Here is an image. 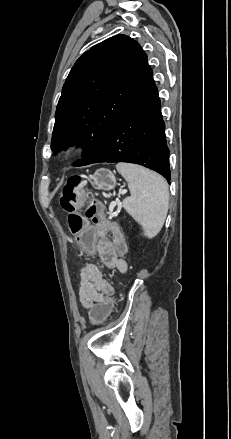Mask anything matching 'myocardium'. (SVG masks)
<instances>
[{
	"label": "myocardium",
	"instance_id": "myocardium-1",
	"mask_svg": "<svg viewBox=\"0 0 231 439\" xmlns=\"http://www.w3.org/2000/svg\"><path fill=\"white\" fill-rule=\"evenodd\" d=\"M83 147L80 143H70L65 146L63 153L67 157H72L79 154L82 151Z\"/></svg>",
	"mask_w": 231,
	"mask_h": 439
}]
</instances>
